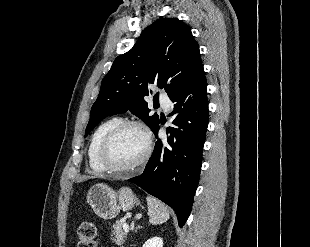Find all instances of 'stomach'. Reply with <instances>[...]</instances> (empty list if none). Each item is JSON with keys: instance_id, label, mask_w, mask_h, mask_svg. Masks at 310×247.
Returning <instances> with one entry per match:
<instances>
[{"instance_id": "obj_1", "label": "stomach", "mask_w": 310, "mask_h": 247, "mask_svg": "<svg viewBox=\"0 0 310 247\" xmlns=\"http://www.w3.org/2000/svg\"><path fill=\"white\" fill-rule=\"evenodd\" d=\"M86 198L94 213L104 220H111L120 210H131L140 203L130 188L122 187L115 191L104 183L93 185Z\"/></svg>"}]
</instances>
